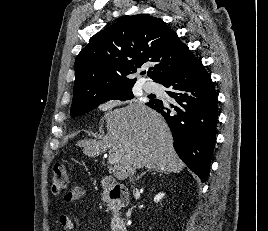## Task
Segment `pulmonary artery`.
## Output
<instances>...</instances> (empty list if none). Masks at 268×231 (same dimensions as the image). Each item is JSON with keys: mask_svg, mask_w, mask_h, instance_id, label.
I'll list each match as a JSON object with an SVG mask.
<instances>
[{"mask_svg": "<svg viewBox=\"0 0 268 231\" xmlns=\"http://www.w3.org/2000/svg\"><path fill=\"white\" fill-rule=\"evenodd\" d=\"M144 89L148 92L154 91V87L149 83L145 84Z\"/></svg>", "mask_w": 268, "mask_h": 231, "instance_id": "pulmonary-artery-1", "label": "pulmonary artery"}]
</instances>
